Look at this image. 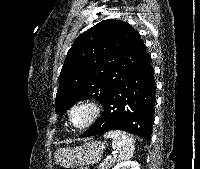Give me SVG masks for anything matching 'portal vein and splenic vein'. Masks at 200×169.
Returning a JSON list of instances; mask_svg holds the SVG:
<instances>
[{
  "mask_svg": "<svg viewBox=\"0 0 200 169\" xmlns=\"http://www.w3.org/2000/svg\"><path fill=\"white\" fill-rule=\"evenodd\" d=\"M107 159H112V156H108Z\"/></svg>",
  "mask_w": 200,
  "mask_h": 169,
  "instance_id": "18ae733b",
  "label": "portal vein and splenic vein"
}]
</instances>
